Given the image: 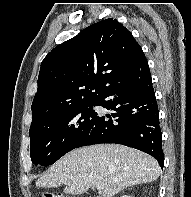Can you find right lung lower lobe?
Returning <instances> with one entry per match:
<instances>
[{
  "label": "right lung lower lobe",
  "instance_id": "98d812e1",
  "mask_svg": "<svg viewBox=\"0 0 191 197\" xmlns=\"http://www.w3.org/2000/svg\"><path fill=\"white\" fill-rule=\"evenodd\" d=\"M97 105L113 112L97 115L76 148L99 143L122 144L150 154L163 168L162 132L148 65L107 88Z\"/></svg>",
  "mask_w": 191,
  "mask_h": 197
}]
</instances>
